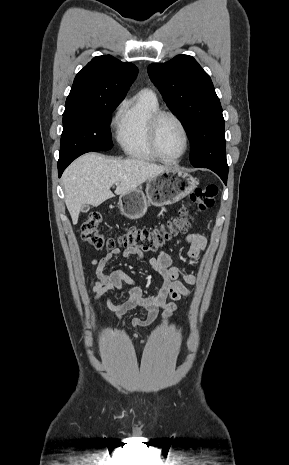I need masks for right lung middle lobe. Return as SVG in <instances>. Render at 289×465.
Here are the masks:
<instances>
[{"mask_svg": "<svg viewBox=\"0 0 289 465\" xmlns=\"http://www.w3.org/2000/svg\"><path fill=\"white\" fill-rule=\"evenodd\" d=\"M122 100L90 107L85 112L63 114V132L58 162L75 159L90 151L112 146L110 115Z\"/></svg>", "mask_w": 289, "mask_h": 465, "instance_id": "dd1d6c3e", "label": "right lung middle lobe"}]
</instances>
